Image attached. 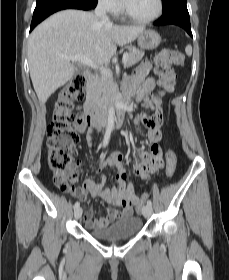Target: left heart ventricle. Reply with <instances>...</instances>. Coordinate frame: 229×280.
Wrapping results in <instances>:
<instances>
[{
    "label": "left heart ventricle",
    "instance_id": "1",
    "mask_svg": "<svg viewBox=\"0 0 229 280\" xmlns=\"http://www.w3.org/2000/svg\"><path fill=\"white\" fill-rule=\"evenodd\" d=\"M127 11L136 17H147L153 14L157 8L156 0H127Z\"/></svg>",
    "mask_w": 229,
    "mask_h": 280
}]
</instances>
